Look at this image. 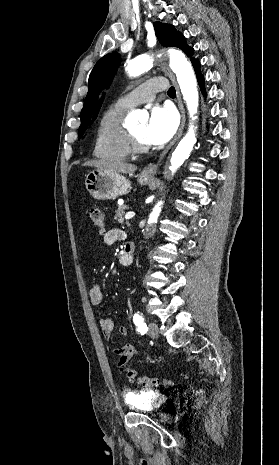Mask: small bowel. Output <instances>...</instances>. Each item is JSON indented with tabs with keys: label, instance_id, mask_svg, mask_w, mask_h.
Returning a JSON list of instances; mask_svg holds the SVG:
<instances>
[{
	"label": "small bowel",
	"instance_id": "1",
	"mask_svg": "<svg viewBox=\"0 0 279 465\" xmlns=\"http://www.w3.org/2000/svg\"><path fill=\"white\" fill-rule=\"evenodd\" d=\"M123 238V232L118 229L110 230L104 235V241L108 245H112L115 242L122 240ZM88 295L90 302L93 305H98L103 301V292L99 285H92L88 291ZM99 325L103 332L104 338L109 340L114 330L113 320L109 317L101 318L99 321ZM119 333L122 336H126L128 334V329L125 326H121L119 328ZM114 353L118 356V367L123 368L138 354V350L136 349L134 344L127 343L122 348L116 349Z\"/></svg>",
	"mask_w": 279,
	"mask_h": 465
}]
</instances>
